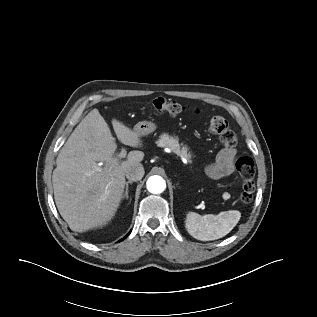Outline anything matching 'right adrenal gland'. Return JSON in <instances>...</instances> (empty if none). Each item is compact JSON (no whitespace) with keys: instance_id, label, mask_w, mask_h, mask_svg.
<instances>
[{"instance_id":"obj_1","label":"right adrenal gland","mask_w":317,"mask_h":317,"mask_svg":"<svg viewBox=\"0 0 317 317\" xmlns=\"http://www.w3.org/2000/svg\"><path fill=\"white\" fill-rule=\"evenodd\" d=\"M129 183H132V182L131 181L126 182V190H125V193L123 195V199H128V188H129L128 184Z\"/></svg>"}]
</instances>
